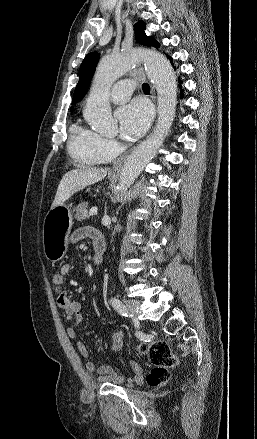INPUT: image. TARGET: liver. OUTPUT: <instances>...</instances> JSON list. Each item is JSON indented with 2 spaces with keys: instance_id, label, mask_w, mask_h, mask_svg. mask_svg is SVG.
<instances>
[{
  "instance_id": "liver-1",
  "label": "liver",
  "mask_w": 257,
  "mask_h": 439,
  "mask_svg": "<svg viewBox=\"0 0 257 439\" xmlns=\"http://www.w3.org/2000/svg\"><path fill=\"white\" fill-rule=\"evenodd\" d=\"M106 169L80 168L67 172L61 179L51 208H55L85 187L103 180Z\"/></svg>"
}]
</instances>
